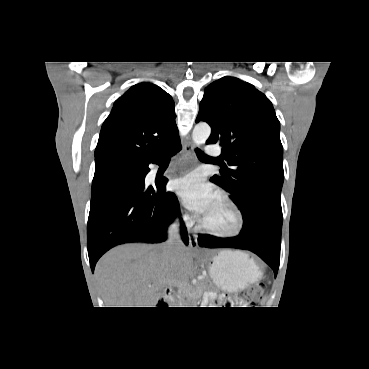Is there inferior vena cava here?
Masks as SVG:
<instances>
[{
	"instance_id": "602c4592",
	"label": "inferior vena cava",
	"mask_w": 369,
	"mask_h": 369,
	"mask_svg": "<svg viewBox=\"0 0 369 369\" xmlns=\"http://www.w3.org/2000/svg\"><path fill=\"white\" fill-rule=\"evenodd\" d=\"M168 240L164 244V252L168 255L176 253L184 245L179 234V222L176 220L168 228Z\"/></svg>"
}]
</instances>
